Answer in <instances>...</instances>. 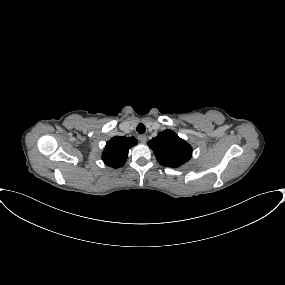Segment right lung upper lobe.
Here are the masks:
<instances>
[{"label":"right lung upper lobe","instance_id":"obj_1","mask_svg":"<svg viewBox=\"0 0 285 285\" xmlns=\"http://www.w3.org/2000/svg\"><path fill=\"white\" fill-rule=\"evenodd\" d=\"M137 144L134 137L115 136L106 143L102 154L104 163L113 168L124 165L128 157V151Z\"/></svg>","mask_w":285,"mask_h":285}]
</instances>
